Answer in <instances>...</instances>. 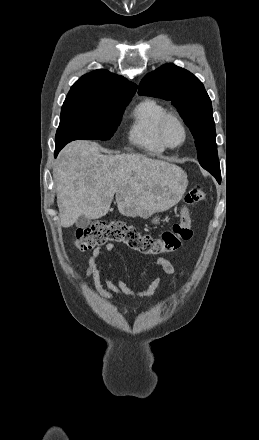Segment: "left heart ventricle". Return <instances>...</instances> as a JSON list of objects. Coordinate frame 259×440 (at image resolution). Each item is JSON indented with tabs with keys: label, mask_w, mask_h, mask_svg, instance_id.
I'll use <instances>...</instances> for the list:
<instances>
[{
	"label": "left heart ventricle",
	"mask_w": 259,
	"mask_h": 440,
	"mask_svg": "<svg viewBox=\"0 0 259 440\" xmlns=\"http://www.w3.org/2000/svg\"><path fill=\"white\" fill-rule=\"evenodd\" d=\"M166 138L168 142L172 145L178 144L183 139V131L179 124L171 120L166 127Z\"/></svg>",
	"instance_id": "left-heart-ventricle-1"
}]
</instances>
